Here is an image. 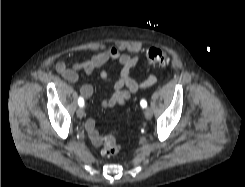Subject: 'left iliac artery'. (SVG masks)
I'll list each match as a JSON object with an SVG mask.
<instances>
[{
  "instance_id": "left-iliac-artery-1",
  "label": "left iliac artery",
  "mask_w": 245,
  "mask_h": 187,
  "mask_svg": "<svg viewBox=\"0 0 245 187\" xmlns=\"http://www.w3.org/2000/svg\"><path fill=\"white\" fill-rule=\"evenodd\" d=\"M140 105H141V107L145 108L147 106V102L144 99H142L140 101Z\"/></svg>"
}]
</instances>
